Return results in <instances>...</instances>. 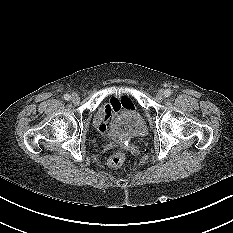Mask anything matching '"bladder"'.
Segmentation results:
<instances>
[{"label": "bladder", "mask_w": 233, "mask_h": 233, "mask_svg": "<svg viewBox=\"0 0 233 233\" xmlns=\"http://www.w3.org/2000/svg\"><path fill=\"white\" fill-rule=\"evenodd\" d=\"M147 124L143 116L135 109L119 113L109 126V135L115 139H128L144 136Z\"/></svg>", "instance_id": "obj_1"}]
</instances>
